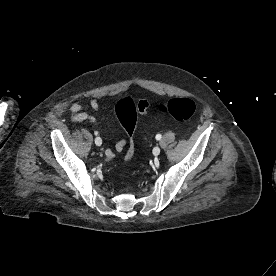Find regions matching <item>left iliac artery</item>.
<instances>
[{"instance_id": "44dca946", "label": "left iliac artery", "mask_w": 276, "mask_h": 276, "mask_svg": "<svg viewBox=\"0 0 276 276\" xmlns=\"http://www.w3.org/2000/svg\"><path fill=\"white\" fill-rule=\"evenodd\" d=\"M162 138V135L161 134H157L156 135V140H160Z\"/></svg>"}]
</instances>
